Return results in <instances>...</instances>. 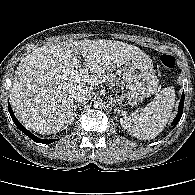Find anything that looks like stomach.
Returning <instances> with one entry per match:
<instances>
[{
  "label": "stomach",
  "mask_w": 195,
  "mask_h": 195,
  "mask_svg": "<svg viewBox=\"0 0 195 195\" xmlns=\"http://www.w3.org/2000/svg\"><path fill=\"white\" fill-rule=\"evenodd\" d=\"M123 79L128 90L127 101L131 105H136L157 92L159 80L152 60L146 54L126 63Z\"/></svg>",
  "instance_id": "1"
}]
</instances>
